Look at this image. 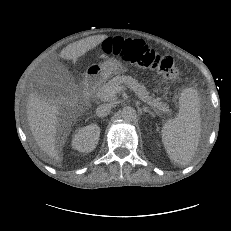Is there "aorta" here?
I'll use <instances>...</instances> for the list:
<instances>
[{
	"instance_id": "aorta-1",
	"label": "aorta",
	"mask_w": 231,
	"mask_h": 231,
	"mask_svg": "<svg viewBox=\"0 0 231 231\" xmlns=\"http://www.w3.org/2000/svg\"><path fill=\"white\" fill-rule=\"evenodd\" d=\"M136 117V111L130 106H126L122 110V118L126 121H131Z\"/></svg>"
}]
</instances>
